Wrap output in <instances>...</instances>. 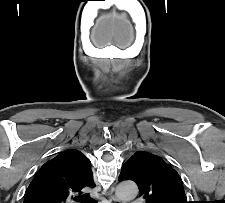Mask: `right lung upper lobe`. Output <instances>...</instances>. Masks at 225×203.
I'll return each instance as SVG.
<instances>
[{"mask_svg":"<svg viewBox=\"0 0 225 203\" xmlns=\"http://www.w3.org/2000/svg\"><path fill=\"white\" fill-rule=\"evenodd\" d=\"M91 187L95 183L90 160L80 151L69 149L41 167L27 188L23 203H68L74 194Z\"/></svg>","mask_w":225,"mask_h":203,"instance_id":"right-lung-upper-lobe-1","label":"right lung upper lobe"}]
</instances>
